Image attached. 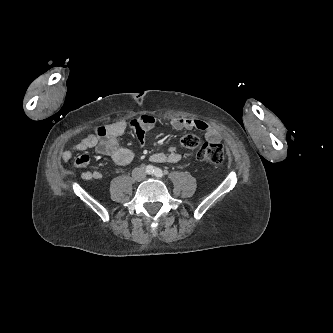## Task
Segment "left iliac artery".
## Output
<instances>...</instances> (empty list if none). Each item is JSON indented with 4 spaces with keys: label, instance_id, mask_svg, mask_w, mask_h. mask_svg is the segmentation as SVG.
Returning <instances> with one entry per match:
<instances>
[{
    "label": "left iliac artery",
    "instance_id": "obj_1",
    "mask_svg": "<svg viewBox=\"0 0 333 333\" xmlns=\"http://www.w3.org/2000/svg\"><path fill=\"white\" fill-rule=\"evenodd\" d=\"M154 175L156 176V177H163V171L161 170V169H159V168H155V170H154Z\"/></svg>",
    "mask_w": 333,
    "mask_h": 333
}]
</instances>
